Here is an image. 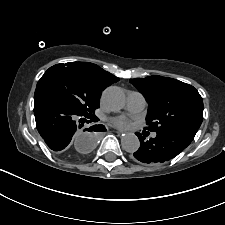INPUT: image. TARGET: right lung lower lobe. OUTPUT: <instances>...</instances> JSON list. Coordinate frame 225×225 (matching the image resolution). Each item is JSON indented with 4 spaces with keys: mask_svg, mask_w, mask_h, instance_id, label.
Segmentation results:
<instances>
[{
    "mask_svg": "<svg viewBox=\"0 0 225 225\" xmlns=\"http://www.w3.org/2000/svg\"><path fill=\"white\" fill-rule=\"evenodd\" d=\"M34 115L36 127L48 147L63 154L69 150L74 134L79 131L85 122H96L97 117H87L79 113L72 106L52 95L51 93L36 89L34 94ZM102 125H93L83 131H100ZM86 133L89 140V148L95 142V133ZM66 158L73 159L75 155H66Z\"/></svg>",
    "mask_w": 225,
    "mask_h": 225,
    "instance_id": "98d812e1",
    "label": "right lung lower lobe"
}]
</instances>
